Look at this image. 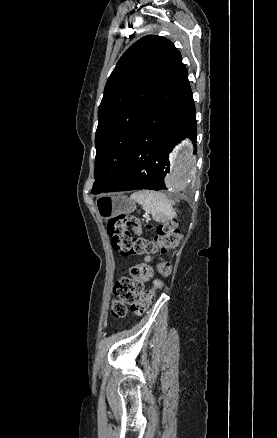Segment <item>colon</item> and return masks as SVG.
Returning <instances> with one entry per match:
<instances>
[{"label": "colon", "instance_id": "1", "mask_svg": "<svg viewBox=\"0 0 277 438\" xmlns=\"http://www.w3.org/2000/svg\"><path fill=\"white\" fill-rule=\"evenodd\" d=\"M152 228L153 225L147 227ZM155 228L156 234L151 237L133 236L131 230H142L141 222L126 214L113 216L107 223V233L115 251L126 258L144 256L146 261L133 265L129 276L117 280L115 299L111 303L112 314L116 317L125 315L128 309L136 316L142 315L153 303L157 291L164 286L162 279H157L154 280L152 289L142 293L143 284L153 278L151 257L175 248L181 240V233L178 224L173 221L160 223ZM157 270L161 278H167L171 275L172 264L161 261L157 264Z\"/></svg>", "mask_w": 277, "mask_h": 438}]
</instances>
